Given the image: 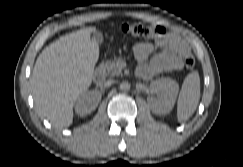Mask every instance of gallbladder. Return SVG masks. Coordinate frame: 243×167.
Wrapping results in <instances>:
<instances>
[{
  "mask_svg": "<svg viewBox=\"0 0 243 167\" xmlns=\"http://www.w3.org/2000/svg\"><path fill=\"white\" fill-rule=\"evenodd\" d=\"M93 41L99 46L103 43V34L100 31H95L93 33Z\"/></svg>",
  "mask_w": 243,
  "mask_h": 167,
  "instance_id": "gallbladder-1",
  "label": "gallbladder"
}]
</instances>
